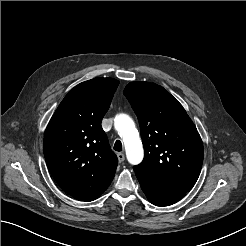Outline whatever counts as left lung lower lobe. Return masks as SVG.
Returning a JSON list of instances; mask_svg holds the SVG:
<instances>
[{
  "label": "left lung lower lobe",
  "instance_id": "1",
  "mask_svg": "<svg viewBox=\"0 0 246 246\" xmlns=\"http://www.w3.org/2000/svg\"><path fill=\"white\" fill-rule=\"evenodd\" d=\"M137 179L148 200L156 206L172 205L186 194L185 191L164 186L148 178L137 176Z\"/></svg>",
  "mask_w": 246,
  "mask_h": 246
}]
</instances>
